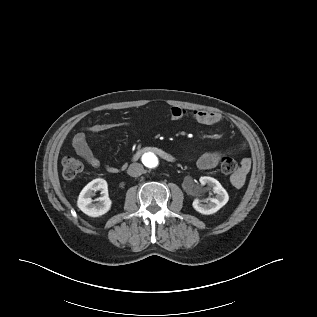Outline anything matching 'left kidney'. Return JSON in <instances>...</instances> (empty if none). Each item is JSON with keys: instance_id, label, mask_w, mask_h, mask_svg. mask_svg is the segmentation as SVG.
Instances as JSON below:
<instances>
[{"instance_id": "obj_1", "label": "left kidney", "mask_w": 317, "mask_h": 317, "mask_svg": "<svg viewBox=\"0 0 317 317\" xmlns=\"http://www.w3.org/2000/svg\"><path fill=\"white\" fill-rule=\"evenodd\" d=\"M201 186L207 185L216 194L215 198H208L205 201L195 198L193 201V208L204 215L216 213L229 200L227 191L215 178L203 176L199 179ZM204 202V203H202Z\"/></svg>"}]
</instances>
